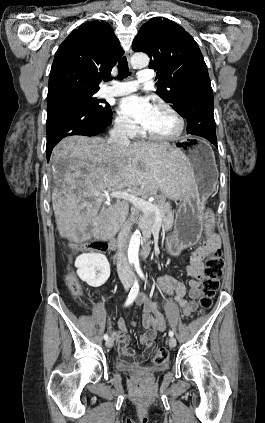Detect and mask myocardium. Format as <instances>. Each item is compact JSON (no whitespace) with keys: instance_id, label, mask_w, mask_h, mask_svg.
I'll return each instance as SVG.
<instances>
[{"instance_id":"1","label":"myocardium","mask_w":265,"mask_h":423,"mask_svg":"<svg viewBox=\"0 0 265 423\" xmlns=\"http://www.w3.org/2000/svg\"><path fill=\"white\" fill-rule=\"evenodd\" d=\"M155 107L158 108H162L164 110H166L167 112H169L177 121L178 123V127L177 130L172 133V134H168V135H161V134H156L153 133L149 130H147L145 127L142 128L143 133L148 136L151 139L154 140H159V141H173L178 139L185 130V120L183 118V116L170 104L165 103V102H158Z\"/></svg>"}]
</instances>
